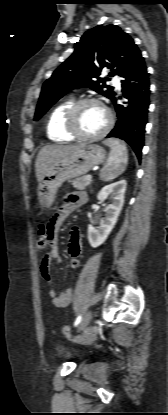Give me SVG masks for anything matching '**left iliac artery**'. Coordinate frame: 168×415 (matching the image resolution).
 <instances>
[{
	"instance_id": "44dca946",
	"label": "left iliac artery",
	"mask_w": 168,
	"mask_h": 415,
	"mask_svg": "<svg viewBox=\"0 0 168 415\" xmlns=\"http://www.w3.org/2000/svg\"><path fill=\"white\" fill-rule=\"evenodd\" d=\"M81 319H82V316H81V315H79V316L76 318L75 322H74V326H77V325L81 322Z\"/></svg>"
}]
</instances>
